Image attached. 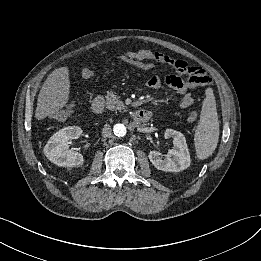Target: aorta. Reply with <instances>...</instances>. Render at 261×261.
Listing matches in <instances>:
<instances>
[{"instance_id": "1", "label": "aorta", "mask_w": 261, "mask_h": 261, "mask_svg": "<svg viewBox=\"0 0 261 261\" xmlns=\"http://www.w3.org/2000/svg\"><path fill=\"white\" fill-rule=\"evenodd\" d=\"M114 134L118 137H124L127 133L126 127L124 124L117 123L113 127Z\"/></svg>"}]
</instances>
